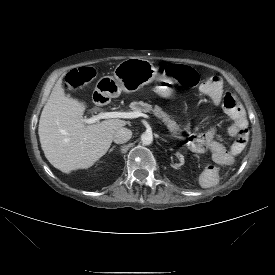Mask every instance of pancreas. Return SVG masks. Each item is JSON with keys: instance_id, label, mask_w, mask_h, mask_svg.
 I'll return each mask as SVG.
<instances>
[{"instance_id": "obj_1", "label": "pancreas", "mask_w": 275, "mask_h": 275, "mask_svg": "<svg viewBox=\"0 0 275 275\" xmlns=\"http://www.w3.org/2000/svg\"><path fill=\"white\" fill-rule=\"evenodd\" d=\"M130 108L133 111L136 112H153L155 116L158 118L162 119L164 124L168 127L169 132L174 136V137H179L180 133L182 132V129L180 128V125H178L170 115H168L166 112L162 110L159 106L153 107L152 105L148 103H144L142 101L139 102H132L130 104Z\"/></svg>"}]
</instances>
